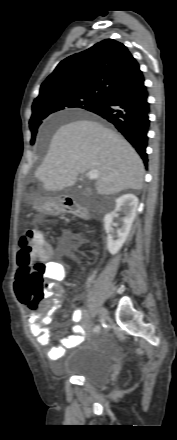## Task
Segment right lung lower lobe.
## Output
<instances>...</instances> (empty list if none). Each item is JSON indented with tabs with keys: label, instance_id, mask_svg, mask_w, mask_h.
Listing matches in <instances>:
<instances>
[{
	"label": "right lung lower lobe",
	"instance_id": "obj_1",
	"mask_svg": "<svg viewBox=\"0 0 177 440\" xmlns=\"http://www.w3.org/2000/svg\"><path fill=\"white\" fill-rule=\"evenodd\" d=\"M147 98L144 76L140 71L110 90L99 102L87 109L114 124L139 153L146 166L147 133L150 126Z\"/></svg>",
	"mask_w": 177,
	"mask_h": 440
}]
</instances>
